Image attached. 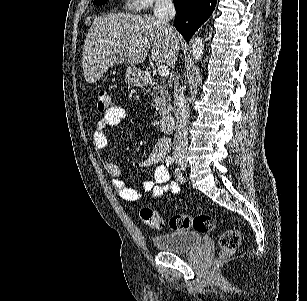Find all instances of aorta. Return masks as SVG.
<instances>
[{"label": "aorta", "instance_id": "aorta-1", "mask_svg": "<svg viewBox=\"0 0 307 301\" xmlns=\"http://www.w3.org/2000/svg\"><path fill=\"white\" fill-rule=\"evenodd\" d=\"M191 52L193 54V58L195 62H198L200 58H202L203 50H204V40L202 36H195V38H192L191 42Z\"/></svg>", "mask_w": 307, "mask_h": 301}]
</instances>
